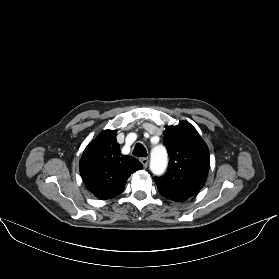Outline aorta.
I'll return each instance as SVG.
<instances>
[{
    "label": "aorta",
    "mask_w": 279,
    "mask_h": 279,
    "mask_svg": "<svg viewBox=\"0 0 279 279\" xmlns=\"http://www.w3.org/2000/svg\"><path fill=\"white\" fill-rule=\"evenodd\" d=\"M167 167V152L164 146H155L151 151L150 168L154 174H162Z\"/></svg>",
    "instance_id": "obj_1"
}]
</instances>
